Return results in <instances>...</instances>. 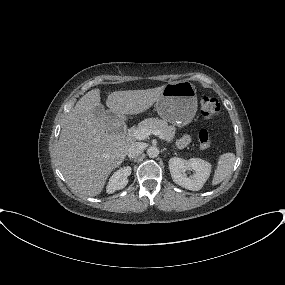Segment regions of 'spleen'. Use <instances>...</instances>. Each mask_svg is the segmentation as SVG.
Segmentation results:
<instances>
[{"label": "spleen", "instance_id": "3e777b00", "mask_svg": "<svg viewBox=\"0 0 285 285\" xmlns=\"http://www.w3.org/2000/svg\"><path fill=\"white\" fill-rule=\"evenodd\" d=\"M235 154L228 152L220 155L218 159L217 168L214 173L212 180V185H217L225 180L231 173L234 163H235Z\"/></svg>", "mask_w": 285, "mask_h": 285}]
</instances>
